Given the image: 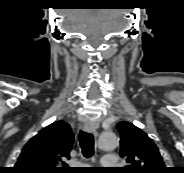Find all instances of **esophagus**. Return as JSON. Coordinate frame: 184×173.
I'll return each mask as SVG.
<instances>
[{
  "label": "esophagus",
  "mask_w": 184,
  "mask_h": 173,
  "mask_svg": "<svg viewBox=\"0 0 184 173\" xmlns=\"http://www.w3.org/2000/svg\"><path fill=\"white\" fill-rule=\"evenodd\" d=\"M99 127L98 121H87L83 124V129L89 133H95Z\"/></svg>",
  "instance_id": "34e87169"
}]
</instances>
